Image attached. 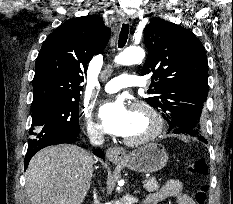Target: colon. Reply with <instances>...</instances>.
Wrapping results in <instances>:
<instances>
[{"label":"colon","mask_w":233,"mask_h":204,"mask_svg":"<svg viewBox=\"0 0 233 204\" xmlns=\"http://www.w3.org/2000/svg\"><path fill=\"white\" fill-rule=\"evenodd\" d=\"M208 165L207 162L200 158L192 162L188 167H187V172L191 175H196V176H206L208 174ZM208 186L207 185H201L194 196V202L195 204H205L207 201V196H208Z\"/></svg>","instance_id":"5ec220e1"}]
</instances>
